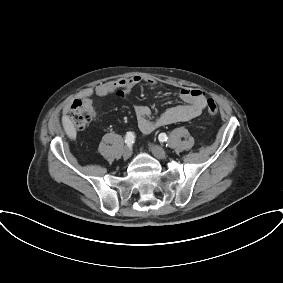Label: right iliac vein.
Here are the masks:
<instances>
[{
    "instance_id": "63e3f726",
    "label": "right iliac vein",
    "mask_w": 283,
    "mask_h": 283,
    "mask_svg": "<svg viewBox=\"0 0 283 283\" xmlns=\"http://www.w3.org/2000/svg\"><path fill=\"white\" fill-rule=\"evenodd\" d=\"M122 155L124 158H130L132 155V150L129 147H124L122 151Z\"/></svg>"
}]
</instances>
